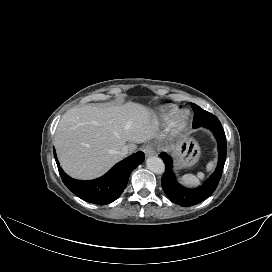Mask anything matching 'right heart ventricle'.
<instances>
[{
  "instance_id": "right-heart-ventricle-1",
  "label": "right heart ventricle",
  "mask_w": 272,
  "mask_h": 272,
  "mask_svg": "<svg viewBox=\"0 0 272 272\" xmlns=\"http://www.w3.org/2000/svg\"><path fill=\"white\" fill-rule=\"evenodd\" d=\"M176 111H177V108H176V107L167 108L166 111L164 112L163 116H164L165 118H169V117H171Z\"/></svg>"
}]
</instances>
